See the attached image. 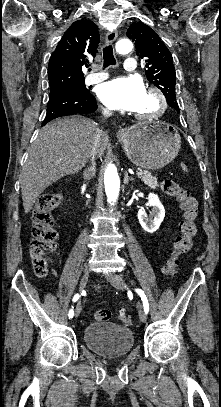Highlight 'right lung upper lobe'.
<instances>
[{
    "label": "right lung upper lobe",
    "instance_id": "cb5924a9",
    "mask_svg": "<svg viewBox=\"0 0 221 407\" xmlns=\"http://www.w3.org/2000/svg\"><path fill=\"white\" fill-rule=\"evenodd\" d=\"M97 26L90 20L75 21L64 33L48 65L50 88L84 81L82 67H88L99 43Z\"/></svg>",
    "mask_w": 221,
    "mask_h": 407
}]
</instances>
